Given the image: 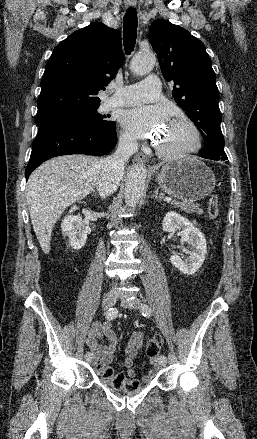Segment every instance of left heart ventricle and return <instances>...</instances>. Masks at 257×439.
Instances as JSON below:
<instances>
[{"mask_svg":"<svg viewBox=\"0 0 257 439\" xmlns=\"http://www.w3.org/2000/svg\"><path fill=\"white\" fill-rule=\"evenodd\" d=\"M193 145L189 128L182 125L168 124L164 129L158 146L168 151H181Z\"/></svg>","mask_w":257,"mask_h":439,"instance_id":"1","label":"left heart ventricle"}]
</instances>
